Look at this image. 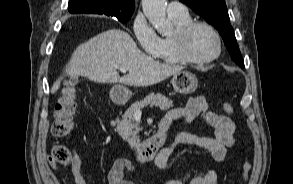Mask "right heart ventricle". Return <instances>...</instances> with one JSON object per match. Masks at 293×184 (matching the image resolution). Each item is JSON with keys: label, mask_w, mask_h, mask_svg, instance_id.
<instances>
[{"label": "right heart ventricle", "mask_w": 293, "mask_h": 184, "mask_svg": "<svg viewBox=\"0 0 293 184\" xmlns=\"http://www.w3.org/2000/svg\"><path fill=\"white\" fill-rule=\"evenodd\" d=\"M169 17L175 26V31L178 28L192 21L189 14L184 16H169ZM172 37H173V34L163 36L160 38L159 48L154 57L164 63L177 64L182 61L175 54Z\"/></svg>", "instance_id": "right-heart-ventricle-1"}]
</instances>
